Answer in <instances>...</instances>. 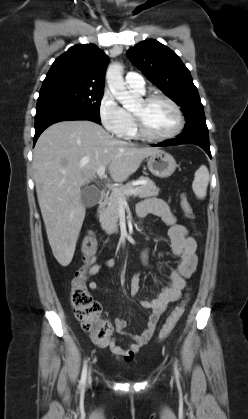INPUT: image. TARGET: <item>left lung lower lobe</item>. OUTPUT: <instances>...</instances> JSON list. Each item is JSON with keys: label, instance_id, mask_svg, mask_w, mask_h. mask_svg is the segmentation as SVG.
I'll use <instances>...</instances> for the list:
<instances>
[{"label": "left lung lower lobe", "instance_id": "0a47b994", "mask_svg": "<svg viewBox=\"0 0 248 419\" xmlns=\"http://www.w3.org/2000/svg\"><path fill=\"white\" fill-rule=\"evenodd\" d=\"M179 144L198 145L211 157L208 128L206 124L196 125L190 129L184 130L179 137L161 142L156 146H172Z\"/></svg>", "mask_w": 248, "mask_h": 419}]
</instances>
